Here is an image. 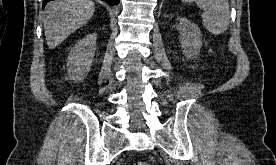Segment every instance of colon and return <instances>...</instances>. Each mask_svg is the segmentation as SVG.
<instances>
[{"mask_svg": "<svg viewBox=\"0 0 276 165\" xmlns=\"http://www.w3.org/2000/svg\"><path fill=\"white\" fill-rule=\"evenodd\" d=\"M133 165H149V164L145 161H138V162H135Z\"/></svg>", "mask_w": 276, "mask_h": 165, "instance_id": "obj_1", "label": "colon"}]
</instances>
